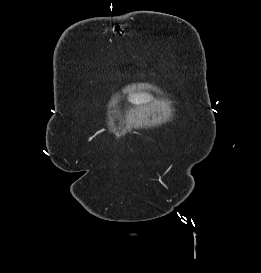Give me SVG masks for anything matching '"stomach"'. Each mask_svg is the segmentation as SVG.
<instances>
[{
  "label": "stomach",
  "instance_id": "1",
  "mask_svg": "<svg viewBox=\"0 0 261 273\" xmlns=\"http://www.w3.org/2000/svg\"><path fill=\"white\" fill-rule=\"evenodd\" d=\"M153 99V95L144 86H138L129 90L127 100L134 105L146 104Z\"/></svg>",
  "mask_w": 261,
  "mask_h": 273
}]
</instances>
